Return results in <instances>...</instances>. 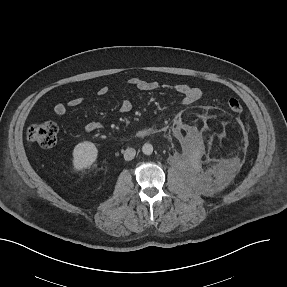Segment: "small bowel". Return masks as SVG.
<instances>
[{
  "instance_id": "1",
  "label": "small bowel",
  "mask_w": 287,
  "mask_h": 287,
  "mask_svg": "<svg viewBox=\"0 0 287 287\" xmlns=\"http://www.w3.org/2000/svg\"><path fill=\"white\" fill-rule=\"evenodd\" d=\"M130 86L134 87L140 91H157V90H168L179 94L182 97V103L185 105H191L197 101H199L202 97V91L195 86H191L188 84H173L166 85L160 84L157 81L153 80H145L138 77H131L128 80ZM108 92L107 87H101L98 91L99 95H106ZM83 102L82 97H75L66 102H58L54 106V113L57 116H63L66 114L68 107H76L81 105ZM132 103L129 100H124L120 105V112L128 113L132 110ZM104 127L103 123L98 121H90L88 122L84 130L88 133L96 132Z\"/></svg>"
}]
</instances>
